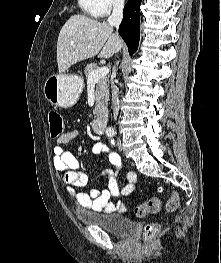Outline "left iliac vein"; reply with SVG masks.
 Here are the masks:
<instances>
[{
	"mask_svg": "<svg viewBox=\"0 0 221 263\" xmlns=\"http://www.w3.org/2000/svg\"><path fill=\"white\" fill-rule=\"evenodd\" d=\"M117 147L120 151L122 150V144L120 140L117 141Z\"/></svg>",
	"mask_w": 221,
	"mask_h": 263,
	"instance_id": "obj_1",
	"label": "left iliac vein"
}]
</instances>
